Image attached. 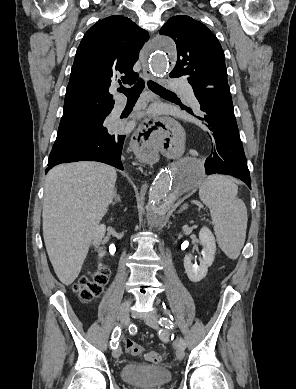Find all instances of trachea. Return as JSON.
I'll use <instances>...</instances> for the list:
<instances>
[{"label": "trachea", "mask_w": 296, "mask_h": 389, "mask_svg": "<svg viewBox=\"0 0 296 389\" xmlns=\"http://www.w3.org/2000/svg\"><path fill=\"white\" fill-rule=\"evenodd\" d=\"M147 84L149 89L156 94L175 95L173 92L165 89L164 87L160 86L159 84L153 81H148ZM144 86H145V82L143 79L140 78L133 87L131 88L121 87L118 89V92H122L123 94H125L128 100H137L141 92L143 91Z\"/></svg>", "instance_id": "obj_1"}]
</instances>
